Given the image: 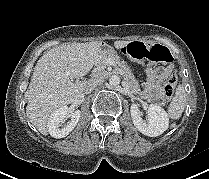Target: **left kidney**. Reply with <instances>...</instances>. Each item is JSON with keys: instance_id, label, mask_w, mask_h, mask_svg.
<instances>
[{"instance_id": "left-kidney-1", "label": "left kidney", "mask_w": 209, "mask_h": 179, "mask_svg": "<svg viewBox=\"0 0 209 179\" xmlns=\"http://www.w3.org/2000/svg\"><path fill=\"white\" fill-rule=\"evenodd\" d=\"M138 106L139 104L133 103L130 112L133 124L139 132L149 137H156L167 130L169 117L162 107L156 104H150L147 112L148 122H145L141 117Z\"/></svg>"}]
</instances>
